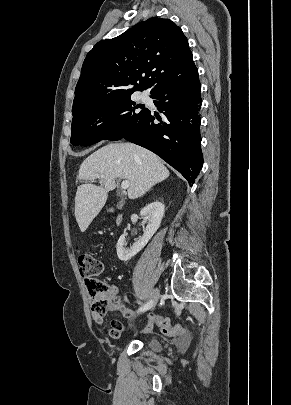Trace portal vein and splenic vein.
I'll return each mask as SVG.
<instances>
[{
  "label": "portal vein and splenic vein",
  "instance_id": "1",
  "mask_svg": "<svg viewBox=\"0 0 291 405\" xmlns=\"http://www.w3.org/2000/svg\"><path fill=\"white\" fill-rule=\"evenodd\" d=\"M98 178H102V176H98ZM128 187H129V181L125 180V181H123V182L121 183V188H122L123 190L128 189Z\"/></svg>",
  "mask_w": 291,
  "mask_h": 405
}]
</instances>
